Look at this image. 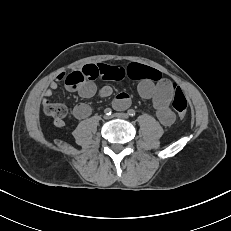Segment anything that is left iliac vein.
I'll use <instances>...</instances> for the list:
<instances>
[{"label":"left iliac vein","mask_w":231,"mask_h":231,"mask_svg":"<svg viewBox=\"0 0 231 231\" xmlns=\"http://www.w3.org/2000/svg\"><path fill=\"white\" fill-rule=\"evenodd\" d=\"M114 117L122 118V119H128L129 115L126 113H115Z\"/></svg>","instance_id":"1"}]
</instances>
